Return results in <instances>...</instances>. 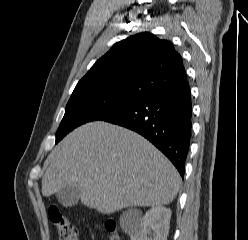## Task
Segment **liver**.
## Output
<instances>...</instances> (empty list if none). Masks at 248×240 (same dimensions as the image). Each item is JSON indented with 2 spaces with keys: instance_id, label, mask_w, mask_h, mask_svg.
<instances>
[{
  "instance_id": "liver-1",
  "label": "liver",
  "mask_w": 248,
  "mask_h": 240,
  "mask_svg": "<svg viewBox=\"0 0 248 240\" xmlns=\"http://www.w3.org/2000/svg\"><path fill=\"white\" fill-rule=\"evenodd\" d=\"M45 169L43 196L77 185L81 203L104 214L168 205L181 184L176 168L149 141L103 121L72 131L48 156Z\"/></svg>"
}]
</instances>
